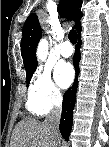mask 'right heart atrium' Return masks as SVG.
<instances>
[{"label":"right heart atrium","instance_id":"obj_1","mask_svg":"<svg viewBox=\"0 0 109 147\" xmlns=\"http://www.w3.org/2000/svg\"><path fill=\"white\" fill-rule=\"evenodd\" d=\"M28 101L35 104L41 114L60 105L62 93L53 82L49 68L40 67L34 73L29 86Z\"/></svg>","mask_w":109,"mask_h":147}]
</instances>
